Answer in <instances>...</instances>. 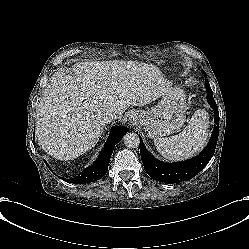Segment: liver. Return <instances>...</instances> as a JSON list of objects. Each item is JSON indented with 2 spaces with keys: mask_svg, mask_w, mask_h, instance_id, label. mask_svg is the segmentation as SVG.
Returning <instances> with one entry per match:
<instances>
[{
  "mask_svg": "<svg viewBox=\"0 0 249 249\" xmlns=\"http://www.w3.org/2000/svg\"><path fill=\"white\" fill-rule=\"evenodd\" d=\"M168 91L159 70L123 61L82 62L70 74L58 73L37 108L38 144L59 160L93 148L110 111L121 116L129 106H145Z\"/></svg>",
  "mask_w": 249,
  "mask_h": 249,
  "instance_id": "obj_1",
  "label": "liver"
}]
</instances>
